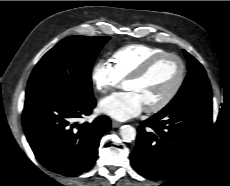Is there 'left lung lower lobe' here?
Segmentation results:
<instances>
[{
    "instance_id": "left-lung-lower-lobe-1",
    "label": "left lung lower lobe",
    "mask_w": 230,
    "mask_h": 186,
    "mask_svg": "<svg viewBox=\"0 0 230 186\" xmlns=\"http://www.w3.org/2000/svg\"><path fill=\"white\" fill-rule=\"evenodd\" d=\"M211 125L212 101L158 112L138 128L132 167L150 179L173 177L201 149Z\"/></svg>"
}]
</instances>
